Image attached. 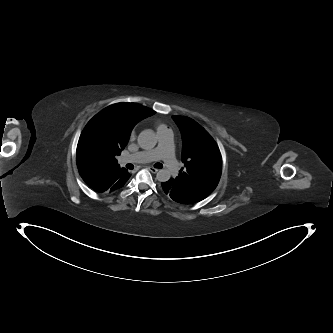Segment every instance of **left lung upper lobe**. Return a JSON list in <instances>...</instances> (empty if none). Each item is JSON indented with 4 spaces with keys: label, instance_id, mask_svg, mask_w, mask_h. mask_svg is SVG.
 <instances>
[{
    "label": "left lung upper lobe",
    "instance_id": "1",
    "mask_svg": "<svg viewBox=\"0 0 333 333\" xmlns=\"http://www.w3.org/2000/svg\"><path fill=\"white\" fill-rule=\"evenodd\" d=\"M182 135V162L184 168L174 185L180 186L199 201L209 196L216 188L222 171L219 148L209 133L194 120L173 116Z\"/></svg>",
    "mask_w": 333,
    "mask_h": 333
}]
</instances>
